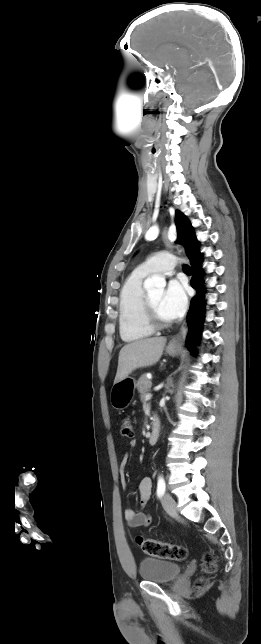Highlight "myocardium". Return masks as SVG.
<instances>
[{"instance_id": "myocardium-1", "label": "myocardium", "mask_w": 261, "mask_h": 644, "mask_svg": "<svg viewBox=\"0 0 261 644\" xmlns=\"http://www.w3.org/2000/svg\"><path fill=\"white\" fill-rule=\"evenodd\" d=\"M144 317L153 330L164 329L171 325L170 320H163L157 315L149 293H145L144 296Z\"/></svg>"}]
</instances>
